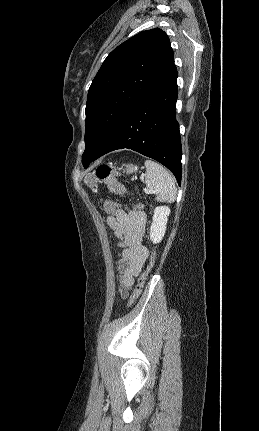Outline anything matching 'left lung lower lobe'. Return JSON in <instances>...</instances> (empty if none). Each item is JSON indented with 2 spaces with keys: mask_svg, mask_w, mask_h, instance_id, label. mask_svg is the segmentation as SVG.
Instances as JSON below:
<instances>
[{
  "mask_svg": "<svg viewBox=\"0 0 259 431\" xmlns=\"http://www.w3.org/2000/svg\"><path fill=\"white\" fill-rule=\"evenodd\" d=\"M175 64L119 121L93 160L117 149H132L172 171L181 183V139L176 121L178 96Z\"/></svg>",
  "mask_w": 259,
  "mask_h": 431,
  "instance_id": "0a47b994",
  "label": "left lung lower lobe"
}]
</instances>
